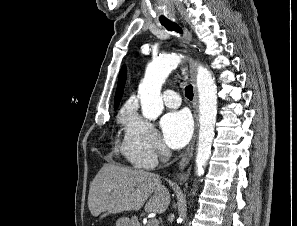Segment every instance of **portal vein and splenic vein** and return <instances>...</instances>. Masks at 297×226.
I'll list each match as a JSON object with an SVG mask.
<instances>
[{
  "label": "portal vein and splenic vein",
  "mask_w": 297,
  "mask_h": 226,
  "mask_svg": "<svg viewBox=\"0 0 297 226\" xmlns=\"http://www.w3.org/2000/svg\"><path fill=\"white\" fill-rule=\"evenodd\" d=\"M157 223H158V220L157 219H150L148 221L147 225L156 226Z\"/></svg>",
  "instance_id": "portal-vein-and-splenic-vein-1"
}]
</instances>
